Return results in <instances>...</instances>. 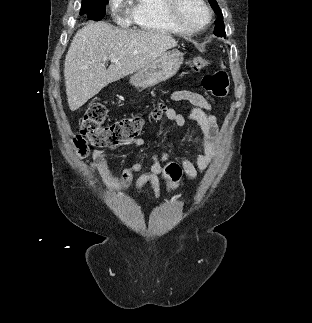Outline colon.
I'll return each mask as SVG.
<instances>
[{"instance_id":"obj_1","label":"colon","mask_w":312,"mask_h":323,"mask_svg":"<svg viewBox=\"0 0 312 323\" xmlns=\"http://www.w3.org/2000/svg\"><path fill=\"white\" fill-rule=\"evenodd\" d=\"M211 64V61L204 57H196L192 61V70L197 72L201 68ZM203 88L217 98H226L229 95V77L223 67L221 60L215 61V69L206 74L202 79ZM165 112L162 103L153 105L147 117L158 120ZM108 108L102 102L93 103L89 106L85 114L80 119V139L88 140L95 148L110 147L121 142L137 138L141 135L145 119L142 117H131L117 119L114 122L106 123ZM75 158H86L84 150L85 141H74ZM183 170L181 165H177L176 160H169L164 167L166 182L171 187L180 181L179 172Z\"/></svg>"}]
</instances>
